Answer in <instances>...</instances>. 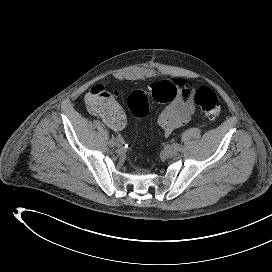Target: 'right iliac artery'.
I'll return each instance as SVG.
<instances>
[{"label": "right iliac artery", "instance_id": "right-iliac-artery-1", "mask_svg": "<svg viewBox=\"0 0 272 272\" xmlns=\"http://www.w3.org/2000/svg\"><path fill=\"white\" fill-rule=\"evenodd\" d=\"M108 139L110 140V141H113V140H116L117 138H115V136L113 135V134H110L109 136H108ZM118 140V139H117ZM119 141V140H118ZM110 145H113V144H110Z\"/></svg>", "mask_w": 272, "mask_h": 272}]
</instances>
